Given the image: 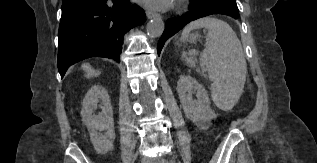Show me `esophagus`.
Masks as SVG:
<instances>
[{
    "instance_id": "esophagus-1",
    "label": "esophagus",
    "mask_w": 317,
    "mask_h": 163,
    "mask_svg": "<svg viewBox=\"0 0 317 163\" xmlns=\"http://www.w3.org/2000/svg\"><path fill=\"white\" fill-rule=\"evenodd\" d=\"M146 16H147V18H160L159 14H157L156 12L150 11V10L146 11Z\"/></svg>"
}]
</instances>
